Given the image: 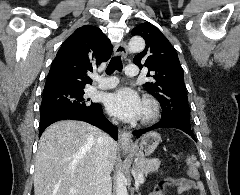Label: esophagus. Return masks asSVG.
<instances>
[{"label": "esophagus", "mask_w": 240, "mask_h": 195, "mask_svg": "<svg viewBox=\"0 0 240 195\" xmlns=\"http://www.w3.org/2000/svg\"><path fill=\"white\" fill-rule=\"evenodd\" d=\"M114 54L123 57L127 55V45L125 41L115 45ZM118 142L121 147L130 148L133 144L131 133L128 130H121L118 135Z\"/></svg>", "instance_id": "esophagus-1"}]
</instances>
